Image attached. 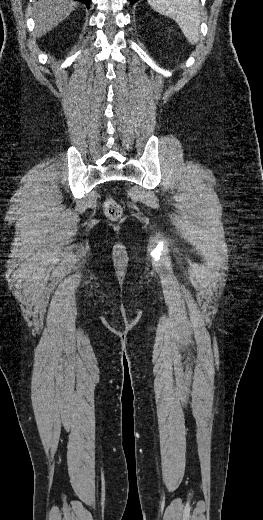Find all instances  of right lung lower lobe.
Instances as JSON below:
<instances>
[{
    "label": "right lung lower lobe",
    "mask_w": 263,
    "mask_h": 520,
    "mask_svg": "<svg viewBox=\"0 0 263 520\" xmlns=\"http://www.w3.org/2000/svg\"><path fill=\"white\" fill-rule=\"evenodd\" d=\"M77 1H81V2L85 3L87 5V7H89L90 0H77Z\"/></svg>",
    "instance_id": "1"
}]
</instances>
